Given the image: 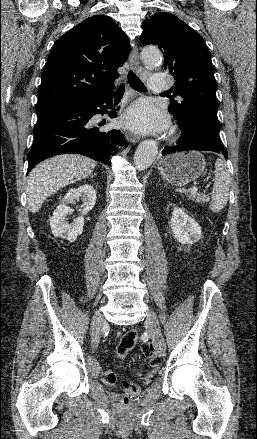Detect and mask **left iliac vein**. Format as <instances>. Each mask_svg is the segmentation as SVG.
I'll list each match as a JSON object with an SVG mask.
<instances>
[{
	"label": "left iliac vein",
	"mask_w": 257,
	"mask_h": 439,
	"mask_svg": "<svg viewBox=\"0 0 257 439\" xmlns=\"http://www.w3.org/2000/svg\"><path fill=\"white\" fill-rule=\"evenodd\" d=\"M146 324L158 353L160 356H164L166 352V344L160 330L158 318L152 309L147 311Z\"/></svg>",
	"instance_id": "obj_1"
}]
</instances>
